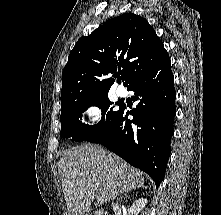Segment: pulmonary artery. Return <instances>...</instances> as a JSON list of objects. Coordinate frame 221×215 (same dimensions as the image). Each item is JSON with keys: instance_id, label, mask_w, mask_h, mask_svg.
<instances>
[{"instance_id": "obj_1", "label": "pulmonary artery", "mask_w": 221, "mask_h": 215, "mask_svg": "<svg viewBox=\"0 0 221 215\" xmlns=\"http://www.w3.org/2000/svg\"><path fill=\"white\" fill-rule=\"evenodd\" d=\"M116 92L119 96H125L126 95V89L119 85L117 88H116Z\"/></svg>"}]
</instances>
